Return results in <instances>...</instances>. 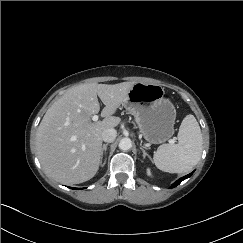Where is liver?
<instances>
[{
  "instance_id": "liver-1",
  "label": "liver",
  "mask_w": 243,
  "mask_h": 243,
  "mask_svg": "<svg viewBox=\"0 0 243 243\" xmlns=\"http://www.w3.org/2000/svg\"><path fill=\"white\" fill-rule=\"evenodd\" d=\"M134 82L81 84L70 88L45 113L36 132L37 154L45 172L57 182L73 185L93 178L101 162L102 132L116 127L113 116ZM105 107L102 121L91 117Z\"/></svg>"
}]
</instances>
